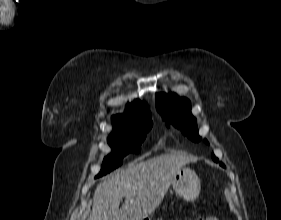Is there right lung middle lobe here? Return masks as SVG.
<instances>
[{"label":"right lung middle lobe","mask_w":281,"mask_h":220,"mask_svg":"<svg viewBox=\"0 0 281 220\" xmlns=\"http://www.w3.org/2000/svg\"><path fill=\"white\" fill-rule=\"evenodd\" d=\"M152 125V119L149 116L114 128L108 137V143L113 148V154L104 158L102 169L96 177L103 176L120 166L123 157L128 153H139L140 145Z\"/></svg>","instance_id":"1"}]
</instances>
